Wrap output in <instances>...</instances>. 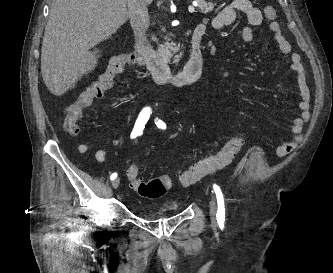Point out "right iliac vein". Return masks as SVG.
Segmentation results:
<instances>
[{
  "label": "right iliac vein",
  "instance_id": "1",
  "mask_svg": "<svg viewBox=\"0 0 333 273\" xmlns=\"http://www.w3.org/2000/svg\"><path fill=\"white\" fill-rule=\"evenodd\" d=\"M119 184H120V179H119V178H116V179H114L113 182H112V187H113L114 189H116V188L119 186Z\"/></svg>",
  "mask_w": 333,
  "mask_h": 273
}]
</instances>
